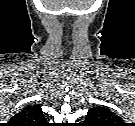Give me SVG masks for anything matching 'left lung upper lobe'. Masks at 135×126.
I'll list each match as a JSON object with an SVG mask.
<instances>
[{"instance_id": "left-lung-upper-lobe-1", "label": "left lung upper lobe", "mask_w": 135, "mask_h": 126, "mask_svg": "<svg viewBox=\"0 0 135 126\" xmlns=\"http://www.w3.org/2000/svg\"><path fill=\"white\" fill-rule=\"evenodd\" d=\"M121 119L108 108L95 106L86 115V122L90 126H119Z\"/></svg>"}]
</instances>
